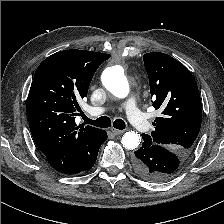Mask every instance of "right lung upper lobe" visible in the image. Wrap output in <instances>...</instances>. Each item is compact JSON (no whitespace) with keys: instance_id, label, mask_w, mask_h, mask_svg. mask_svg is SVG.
I'll return each mask as SVG.
<instances>
[{"instance_id":"right-lung-upper-lobe-1","label":"right lung upper lobe","mask_w":224,"mask_h":224,"mask_svg":"<svg viewBox=\"0 0 224 224\" xmlns=\"http://www.w3.org/2000/svg\"><path fill=\"white\" fill-rule=\"evenodd\" d=\"M109 54L64 50L36 69L28 96V120L38 149L59 172L72 174L101 142L104 130L77 126L78 100L87 96L92 77Z\"/></svg>"}]
</instances>
